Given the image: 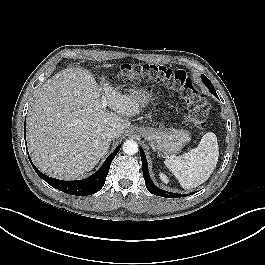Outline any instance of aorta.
<instances>
[{
    "mask_svg": "<svg viewBox=\"0 0 265 265\" xmlns=\"http://www.w3.org/2000/svg\"><path fill=\"white\" fill-rule=\"evenodd\" d=\"M123 151L128 155H134L138 152V144L134 140H127L123 144Z\"/></svg>",
    "mask_w": 265,
    "mask_h": 265,
    "instance_id": "762f6f07",
    "label": "aorta"
}]
</instances>
